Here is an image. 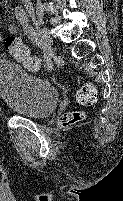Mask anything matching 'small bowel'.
Listing matches in <instances>:
<instances>
[{
  "label": "small bowel",
  "instance_id": "c3829d8e",
  "mask_svg": "<svg viewBox=\"0 0 123 201\" xmlns=\"http://www.w3.org/2000/svg\"><path fill=\"white\" fill-rule=\"evenodd\" d=\"M7 28H8V32L10 34H16L17 31H18L17 25L15 23H9ZM3 48H4L3 47V37L0 34V59L5 57L4 54H3ZM38 62H39V60H38ZM38 68H39V66H38ZM38 68H36L35 70H37Z\"/></svg>",
  "mask_w": 123,
  "mask_h": 201
}]
</instances>
